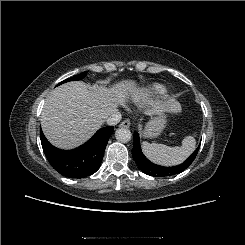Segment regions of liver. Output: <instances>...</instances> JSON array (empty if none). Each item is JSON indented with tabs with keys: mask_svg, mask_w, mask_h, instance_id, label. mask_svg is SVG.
Listing matches in <instances>:
<instances>
[{
	"mask_svg": "<svg viewBox=\"0 0 245 245\" xmlns=\"http://www.w3.org/2000/svg\"><path fill=\"white\" fill-rule=\"evenodd\" d=\"M130 97L134 102H140L144 97L143 89L132 80L118 82L111 88L90 86L81 81L65 83L51 91L45 101L40 119L44 135L58 148L79 147ZM175 110H180V105L170 99L154 102L145 114Z\"/></svg>",
	"mask_w": 245,
	"mask_h": 245,
	"instance_id": "1",
	"label": "liver"
}]
</instances>
